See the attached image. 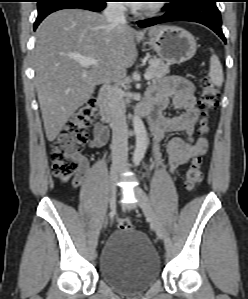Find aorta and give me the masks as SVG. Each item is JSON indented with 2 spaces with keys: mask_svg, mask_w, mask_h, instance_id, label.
<instances>
[{
  "mask_svg": "<svg viewBox=\"0 0 248 299\" xmlns=\"http://www.w3.org/2000/svg\"><path fill=\"white\" fill-rule=\"evenodd\" d=\"M133 128L136 135V148L134 151L133 160L135 162H140L147 150L148 140L144 123L137 115L133 117Z\"/></svg>",
  "mask_w": 248,
  "mask_h": 299,
  "instance_id": "obj_1",
  "label": "aorta"
}]
</instances>
